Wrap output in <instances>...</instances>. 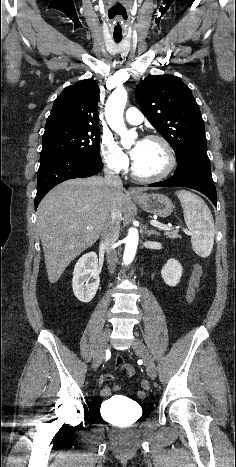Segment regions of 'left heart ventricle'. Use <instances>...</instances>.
I'll return each mask as SVG.
<instances>
[{
  "mask_svg": "<svg viewBox=\"0 0 236 467\" xmlns=\"http://www.w3.org/2000/svg\"><path fill=\"white\" fill-rule=\"evenodd\" d=\"M134 162L139 173L155 175L165 169L167 155L164 147L159 142L144 140L141 144L139 156Z\"/></svg>",
  "mask_w": 236,
  "mask_h": 467,
  "instance_id": "obj_1",
  "label": "left heart ventricle"
}]
</instances>
